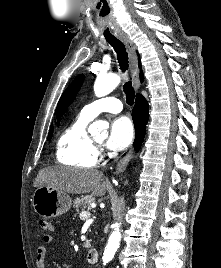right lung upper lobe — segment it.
<instances>
[{
	"label": "right lung upper lobe",
	"mask_w": 221,
	"mask_h": 268,
	"mask_svg": "<svg viewBox=\"0 0 221 268\" xmlns=\"http://www.w3.org/2000/svg\"><path fill=\"white\" fill-rule=\"evenodd\" d=\"M139 67L141 68L140 63H139ZM140 80L143 81V73H142V71H140ZM51 129H53V128L51 127Z\"/></svg>",
	"instance_id": "obj_1"
}]
</instances>
